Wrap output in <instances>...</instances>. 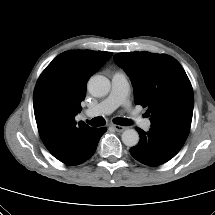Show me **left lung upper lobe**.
<instances>
[{
	"label": "left lung upper lobe",
	"instance_id": "obj_1",
	"mask_svg": "<svg viewBox=\"0 0 215 215\" xmlns=\"http://www.w3.org/2000/svg\"><path fill=\"white\" fill-rule=\"evenodd\" d=\"M114 61L130 76L135 104L147 107L151 129L183 146L191 126L194 95L180 63L169 55L119 53Z\"/></svg>",
	"mask_w": 215,
	"mask_h": 215
}]
</instances>
